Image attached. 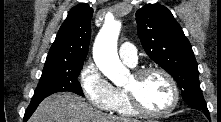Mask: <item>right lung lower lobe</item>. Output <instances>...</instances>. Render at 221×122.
Listing matches in <instances>:
<instances>
[{
	"instance_id": "1",
	"label": "right lung lower lobe",
	"mask_w": 221,
	"mask_h": 122,
	"mask_svg": "<svg viewBox=\"0 0 221 122\" xmlns=\"http://www.w3.org/2000/svg\"><path fill=\"white\" fill-rule=\"evenodd\" d=\"M42 100H38V101H31L30 105L28 106L25 115H24V122L27 121L30 116L33 114V112L36 110L37 106L39 105V103Z\"/></svg>"
}]
</instances>
